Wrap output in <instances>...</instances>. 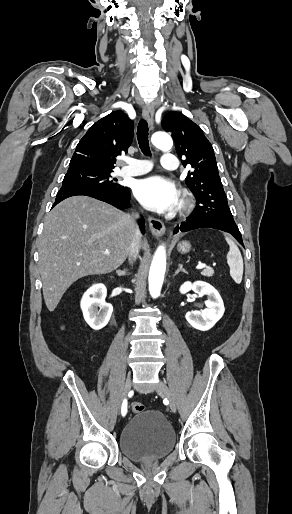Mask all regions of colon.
Wrapping results in <instances>:
<instances>
[{
  "mask_svg": "<svg viewBox=\"0 0 292 514\" xmlns=\"http://www.w3.org/2000/svg\"><path fill=\"white\" fill-rule=\"evenodd\" d=\"M130 409L132 412L136 413V414H142L145 412V406L139 402H131L130 403Z\"/></svg>",
  "mask_w": 292,
  "mask_h": 514,
  "instance_id": "colon-1",
  "label": "colon"
}]
</instances>
